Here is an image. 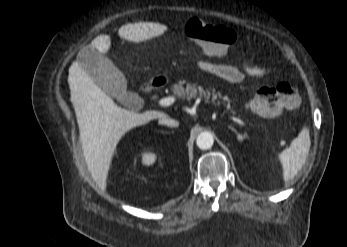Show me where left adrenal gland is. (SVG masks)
<instances>
[{
    "instance_id": "left-adrenal-gland-1",
    "label": "left adrenal gland",
    "mask_w": 347,
    "mask_h": 247,
    "mask_svg": "<svg viewBox=\"0 0 347 247\" xmlns=\"http://www.w3.org/2000/svg\"><path fill=\"white\" fill-rule=\"evenodd\" d=\"M229 128L237 135L238 141L242 142L243 141L242 135L234 127L229 126Z\"/></svg>"
}]
</instances>
